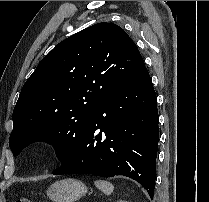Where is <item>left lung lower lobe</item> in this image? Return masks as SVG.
I'll list each match as a JSON object with an SVG mask.
<instances>
[{
  "label": "left lung lower lobe",
  "instance_id": "obj_1",
  "mask_svg": "<svg viewBox=\"0 0 209 202\" xmlns=\"http://www.w3.org/2000/svg\"><path fill=\"white\" fill-rule=\"evenodd\" d=\"M157 97L146 67L92 110L83 138L53 174L123 175L154 195Z\"/></svg>",
  "mask_w": 209,
  "mask_h": 202
}]
</instances>
